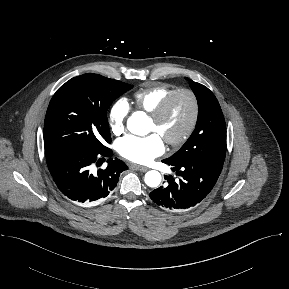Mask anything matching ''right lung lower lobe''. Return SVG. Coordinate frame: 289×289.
Segmentation results:
<instances>
[{"label": "right lung lower lobe", "mask_w": 289, "mask_h": 289, "mask_svg": "<svg viewBox=\"0 0 289 289\" xmlns=\"http://www.w3.org/2000/svg\"><path fill=\"white\" fill-rule=\"evenodd\" d=\"M112 155L110 148L101 151L67 148L46 156V161L62 194L75 203H90L106 198L116 187L120 173L128 168ZM104 157H109L107 167L93 172L91 168L105 161Z\"/></svg>", "instance_id": "right-lung-lower-lobe-1"}]
</instances>
